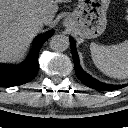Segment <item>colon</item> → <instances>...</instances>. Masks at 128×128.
Returning a JSON list of instances; mask_svg holds the SVG:
<instances>
[{"instance_id": "obj_1", "label": "colon", "mask_w": 128, "mask_h": 128, "mask_svg": "<svg viewBox=\"0 0 128 128\" xmlns=\"http://www.w3.org/2000/svg\"><path fill=\"white\" fill-rule=\"evenodd\" d=\"M126 1V12H125V19L128 21V0H125Z\"/></svg>"}]
</instances>
